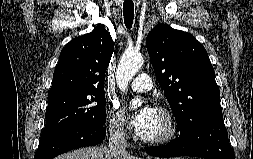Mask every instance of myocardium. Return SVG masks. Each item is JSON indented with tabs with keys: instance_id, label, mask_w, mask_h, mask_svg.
<instances>
[{
	"instance_id": "f54148a6",
	"label": "myocardium",
	"mask_w": 253,
	"mask_h": 159,
	"mask_svg": "<svg viewBox=\"0 0 253 159\" xmlns=\"http://www.w3.org/2000/svg\"><path fill=\"white\" fill-rule=\"evenodd\" d=\"M155 110H157L164 118L166 124L165 131L156 137H147L141 133L139 134V137L143 142L147 144L161 145L172 141L177 136L178 124L171 111H169L167 108L163 106H157Z\"/></svg>"
}]
</instances>
